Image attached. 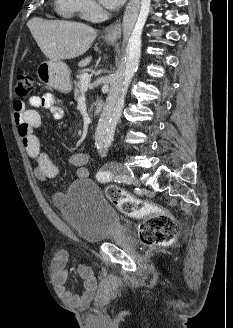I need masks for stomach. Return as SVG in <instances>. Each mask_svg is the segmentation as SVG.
Returning <instances> with one entry per match:
<instances>
[{
  "label": "stomach",
  "mask_w": 233,
  "mask_h": 328,
  "mask_svg": "<svg viewBox=\"0 0 233 328\" xmlns=\"http://www.w3.org/2000/svg\"><path fill=\"white\" fill-rule=\"evenodd\" d=\"M108 43H114V39L107 38ZM37 75L41 82L63 93L70 92V70L61 61H44L37 68Z\"/></svg>",
  "instance_id": "stomach-1"
}]
</instances>
